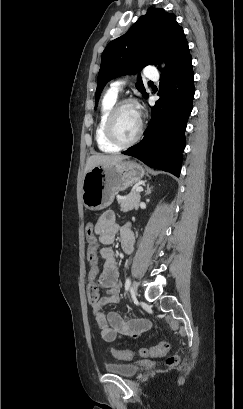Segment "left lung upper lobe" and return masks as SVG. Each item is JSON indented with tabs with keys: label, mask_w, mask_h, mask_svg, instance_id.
Returning a JSON list of instances; mask_svg holds the SVG:
<instances>
[{
	"label": "left lung upper lobe",
	"mask_w": 243,
	"mask_h": 409,
	"mask_svg": "<svg viewBox=\"0 0 243 409\" xmlns=\"http://www.w3.org/2000/svg\"><path fill=\"white\" fill-rule=\"evenodd\" d=\"M185 43L186 37L183 28L176 22V16L164 9L150 7L127 33L111 41L103 51L95 106L104 86L111 79L135 73L149 64L157 65V56H162L168 66ZM136 87L148 97L140 77Z\"/></svg>",
	"instance_id": "obj_1"
}]
</instances>
